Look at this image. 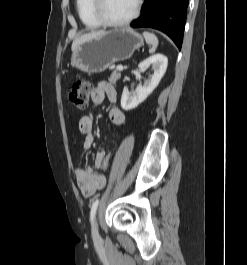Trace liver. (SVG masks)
Instances as JSON below:
<instances>
[{"mask_svg": "<svg viewBox=\"0 0 247 265\" xmlns=\"http://www.w3.org/2000/svg\"><path fill=\"white\" fill-rule=\"evenodd\" d=\"M104 31H95V32H91V33H88V34H84L82 36H80L79 38L75 39L72 43V47L71 49L74 50L79 44L91 39V38H94L100 34H102Z\"/></svg>", "mask_w": 247, "mask_h": 265, "instance_id": "1", "label": "liver"}]
</instances>
